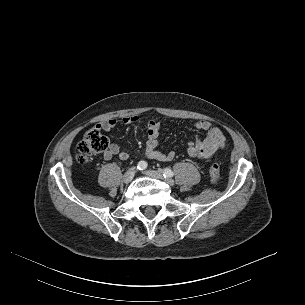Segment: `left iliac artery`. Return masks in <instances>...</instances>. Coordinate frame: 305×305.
<instances>
[{
  "mask_svg": "<svg viewBox=\"0 0 305 305\" xmlns=\"http://www.w3.org/2000/svg\"><path fill=\"white\" fill-rule=\"evenodd\" d=\"M163 175L164 177H173L174 173L172 172L171 169L165 168L163 171Z\"/></svg>",
  "mask_w": 305,
  "mask_h": 305,
  "instance_id": "obj_1",
  "label": "left iliac artery"
}]
</instances>
